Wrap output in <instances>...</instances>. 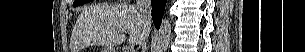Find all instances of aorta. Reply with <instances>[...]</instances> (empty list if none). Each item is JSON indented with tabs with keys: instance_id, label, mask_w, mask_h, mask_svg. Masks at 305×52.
<instances>
[{
	"instance_id": "obj_1",
	"label": "aorta",
	"mask_w": 305,
	"mask_h": 52,
	"mask_svg": "<svg viewBox=\"0 0 305 52\" xmlns=\"http://www.w3.org/2000/svg\"><path fill=\"white\" fill-rule=\"evenodd\" d=\"M171 35H172V28H171L170 19L163 18L157 36L156 50L158 52H165L167 50L171 40Z\"/></svg>"
}]
</instances>
